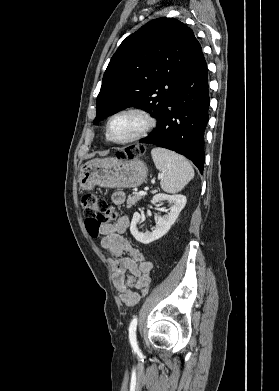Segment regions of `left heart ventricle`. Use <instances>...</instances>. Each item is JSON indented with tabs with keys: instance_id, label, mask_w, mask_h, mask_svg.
I'll return each instance as SVG.
<instances>
[{
	"instance_id": "obj_1",
	"label": "left heart ventricle",
	"mask_w": 279,
	"mask_h": 391,
	"mask_svg": "<svg viewBox=\"0 0 279 391\" xmlns=\"http://www.w3.org/2000/svg\"><path fill=\"white\" fill-rule=\"evenodd\" d=\"M142 126V119L135 114H123L116 117L110 125V136L115 140H124Z\"/></svg>"
}]
</instances>
